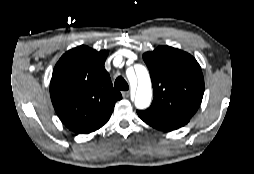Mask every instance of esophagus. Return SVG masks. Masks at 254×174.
<instances>
[{
	"label": "esophagus",
	"instance_id": "obj_1",
	"mask_svg": "<svg viewBox=\"0 0 254 174\" xmlns=\"http://www.w3.org/2000/svg\"><path fill=\"white\" fill-rule=\"evenodd\" d=\"M122 96H123V98H128L129 96H130V92L129 91H123L122 92Z\"/></svg>",
	"mask_w": 254,
	"mask_h": 174
}]
</instances>
